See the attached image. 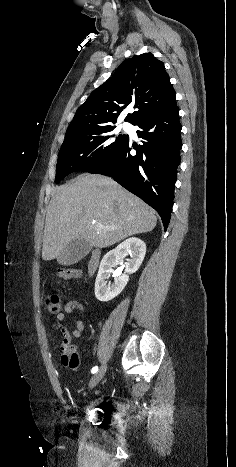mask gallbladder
Here are the masks:
<instances>
[{
  "label": "gallbladder",
  "instance_id": "1",
  "mask_svg": "<svg viewBox=\"0 0 236 467\" xmlns=\"http://www.w3.org/2000/svg\"><path fill=\"white\" fill-rule=\"evenodd\" d=\"M91 250L90 243L78 238L63 247L57 257V262L63 266H71L84 258Z\"/></svg>",
  "mask_w": 236,
  "mask_h": 467
}]
</instances>
